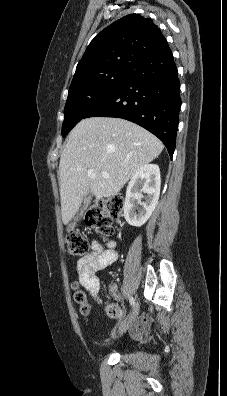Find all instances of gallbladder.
Wrapping results in <instances>:
<instances>
[{"instance_id": "1", "label": "gallbladder", "mask_w": 227, "mask_h": 396, "mask_svg": "<svg viewBox=\"0 0 227 396\" xmlns=\"http://www.w3.org/2000/svg\"><path fill=\"white\" fill-rule=\"evenodd\" d=\"M92 199V195L91 194H87L84 199H83V207L81 208L79 214L76 216V218L74 219V222L71 223L67 230H73L76 226V223L80 220V218L83 216L85 210L87 209V207L90 205Z\"/></svg>"}]
</instances>
